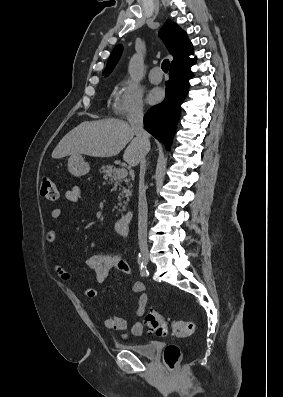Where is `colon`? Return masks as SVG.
Listing matches in <instances>:
<instances>
[{"instance_id":"colon-1","label":"colon","mask_w":283,"mask_h":397,"mask_svg":"<svg viewBox=\"0 0 283 397\" xmlns=\"http://www.w3.org/2000/svg\"><path fill=\"white\" fill-rule=\"evenodd\" d=\"M40 194L49 201L58 199V190L53 180L44 176L40 181ZM146 324L150 331L159 336H164L168 332L169 326L172 328L173 335L179 338L189 337L194 333L195 324L188 320L170 319L157 310L151 309L146 315ZM181 358L180 348L175 344H169L163 352V361L169 371L175 369Z\"/></svg>"}]
</instances>
